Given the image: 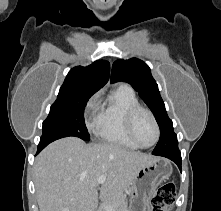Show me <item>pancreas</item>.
<instances>
[{
  "label": "pancreas",
  "instance_id": "pancreas-1",
  "mask_svg": "<svg viewBox=\"0 0 221 211\" xmlns=\"http://www.w3.org/2000/svg\"><path fill=\"white\" fill-rule=\"evenodd\" d=\"M107 206H111L112 211H128L126 196L122 193L104 199L98 211H106Z\"/></svg>",
  "mask_w": 221,
  "mask_h": 211
}]
</instances>
